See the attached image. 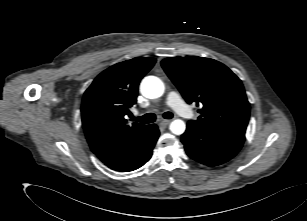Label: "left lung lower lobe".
I'll return each instance as SVG.
<instances>
[{
    "instance_id": "0a47b994",
    "label": "left lung lower lobe",
    "mask_w": 307,
    "mask_h": 221,
    "mask_svg": "<svg viewBox=\"0 0 307 221\" xmlns=\"http://www.w3.org/2000/svg\"><path fill=\"white\" fill-rule=\"evenodd\" d=\"M244 140L243 134L203 127L193 121L188 122L181 139L189 157L211 167L232 159L241 149Z\"/></svg>"
}]
</instances>
